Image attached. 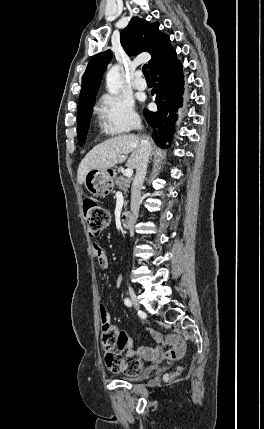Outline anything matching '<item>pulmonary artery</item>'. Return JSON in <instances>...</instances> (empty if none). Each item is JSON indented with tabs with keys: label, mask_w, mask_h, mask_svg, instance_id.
<instances>
[{
	"label": "pulmonary artery",
	"mask_w": 264,
	"mask_h": 429,
	"mask_svg": "<svg viewBox=\"0 0 264 429\" xmlns=\"http://www.w3.org/2000/svg\"><path fill=\"white\" fill-rule=\"evenodd\" d=\"M134 87L137 90H145L147 87L146 81L142 78V73L137 71L135 74Z\"/></svg>",
	"instance_id": "e3ab8cb5"
}]
</instances>
